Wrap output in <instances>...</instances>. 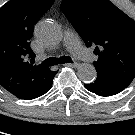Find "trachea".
<instances>
[{
  "instance_id": "1",
  "label": "trachea",
  "mask_w": 135,
  "mask_h": 135,
  "mask_svg": "<svg viewBox=\"0 0 135 135\" xmlns=\"http://www.w3.org/2000/svg\"><path fill=\"white\" fill-rule=\"evenodd\" d=\"M64 63H73V61L68 56H62L60 58L51 57V58L44 60L39 66L48 67V66L64 64Z\"/></svg>"
}]
</instances>
